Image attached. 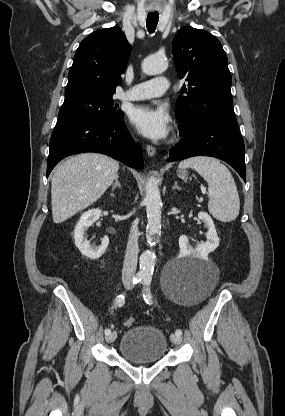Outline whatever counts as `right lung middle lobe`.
<instances>
[{
  "mask_svg": "<svg viewBox=\"0 0 285 416\" xmlns=\"http://www.w3.org/2000/svg\"><path fill=\"white\" fill-rule=\"evenodd\" d=\"M112 97H69L65 98L57 122L94 120L118 121L124 114L117 110Z\"/></svg>",
  "mask_w": 285,
  "mask_h": 416,
  "instance_id": "1",
  "label": "right lung middle lobe"
}]
</instances>
